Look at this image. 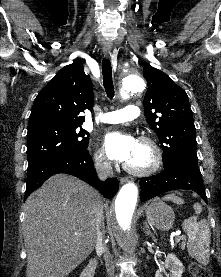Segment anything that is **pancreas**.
<instances>
[{"mask_svg":"<svg viewBox=\"0 0 221 277\" xmlns=\"http://www.w3.org/2000/svg\"><path fill=\"white\" fill-rule=\"evenodd\" d=\"M181 247L184 248V244H182Z\"/></svg>","mask_w":221,"mask_h":277,"instance_id":"pancreas-1","label":"pancreas"}]
</instances>
